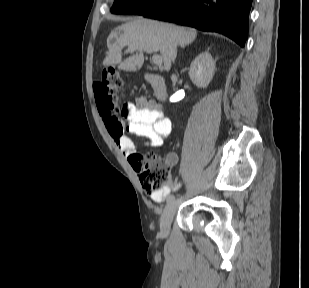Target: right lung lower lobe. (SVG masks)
Here are the masks:
<instances>
[{
	"label": "right lung lower lobe",
	"mask_w": 309,
	"mask_h": 288,
	"mask_svg": "<svg viewBox=\"0 0 309 288\" xmlns=\"http://www.w3.org/2000/svg\"><path fill=\"white\" fill-rule=\"evenodd\" d=\"M251 4L252 0H165L142 15L218 32L244 47Z\"/></svg>",
	"instance_id": "obj_1"
}]
</instances>
